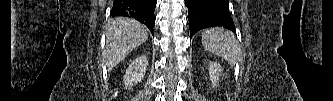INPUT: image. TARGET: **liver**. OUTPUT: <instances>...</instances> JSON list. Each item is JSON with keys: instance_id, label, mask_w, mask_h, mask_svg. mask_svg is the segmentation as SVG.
<instances>
[{"instance_id": "1", "label": "liver", "mask_w": 333, "mask_h": 101, "mask_svg": "<svg viewBox=\"0 0 333 101\" xmlns=\"http://www.w3.org/2000/svg\"><path fill=\"white\" fill-rule=\"evenodd\" d=\"M147 39L148 29L135 19L127 17L112 19L106 31V47L103 53L105 65L109 70L114 68Z\"/></svg>"}]
</instances>
